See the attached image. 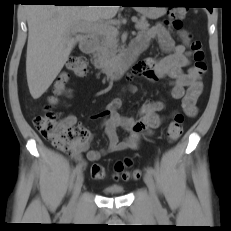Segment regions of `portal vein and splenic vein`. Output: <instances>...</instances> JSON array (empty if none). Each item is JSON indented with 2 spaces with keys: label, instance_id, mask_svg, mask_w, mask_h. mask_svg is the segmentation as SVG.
<instances>
[{
  "label": "portal vein and splenic vein",
  "instance_id": "1",
  "mask_svg": "<svg viewBox=\"0 0 231 231\" xmlns=\"http://www.w3.org/2000/svg\"><path fill=\"white\" fill-rule=\"evenodd\" d=\"M133 22H136V18H132ZM85 29H80L78 31H84ZM89 30L101 34V35H118V30L113 25L106 24V23H96L89 27ZM77 30H72V32H75Z\"/></svg>",
  "mask_w": 231,
  "mask_h": 231
}]
</instances>
